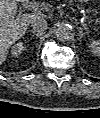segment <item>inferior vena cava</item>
Returning <instances> with one entry per match:
<instances>
[{
	"label": "inferior vena cava",
	"mask_w": 100,
	"mask_h": 118,
	"mask_svg": "<svg viewBox=\"0 0 100 118\" xmlns=\"http://www.w3.org/2000/svg\"><path fill=\"white\" fill-rule=\"evenodd\" d=\"M31 26L34 31L42 33L48 28V23L44 18H35L31 21Z\"/></svg>",
	"instance_id": "602c4592"
}]
</instances>
